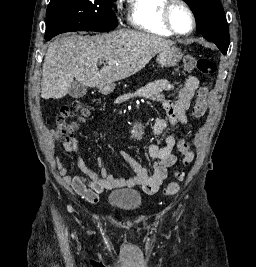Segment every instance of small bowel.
<instances>
[{"instance_id": "obj_1", "label": "small bowel", "mask_w": 256, "mask_h": 267, "mask_svg": "<svg viewBox=\"0 0 256 267\" xmlns=\"http://www.w3.org/2000/svg\"><path fill=\"white\" fill-rule=\"evenodd\" d=\"M198 87L199 80L194 75H188L179 82L159 79L131 94L120 96L116 100V104L120 105L130 99H149L160 102L167 116L166 118L158 117L155 121V133L161 137L168 128H177L180 125L188 124L187 111ZM170 92L175 94L168 97L167 94ZM63 147L67 154L75 156L77 166L86 175V178L69 175L67 168L57 160L61 183L86 201L97 203L99 195L109 189L139 186L147 194L157 193L167 176L168 169L177 161V157L173 153L174 148L183 153L184 149L188 147V143L185 137L176 140L173 135L166 137L163 147L151 143L148 152L157 161L152 171L134 161L127 153L121 152L122 158L133 172V176L128 179L114 176L102 158L96 159L100 168L98 172L89 168L78 155V141L74 137L64 140Z\"/></svg>"}]
</instances>
